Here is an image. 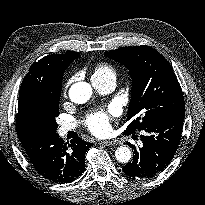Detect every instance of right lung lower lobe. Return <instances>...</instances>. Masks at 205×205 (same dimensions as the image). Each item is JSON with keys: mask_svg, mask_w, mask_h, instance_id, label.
Segmentation results:
<instances>
[{"mask_svg": "<svg viewBox=\"0 0 205 205\" xmlns=\"http://www.w3.org/2000/svg\"><path fill=\"white\" fill-rule=\"evenodd\" d=\"M20 142L34 169L55 183H69L78 178L85 168V153L92 146L81 138L67 145L57 133H36Z\"/></svg>", "mask_w": 205, "mask_h": 205, "instance_id": "98d812e1", "label": "right lung lower lobe"}]
</instances>
